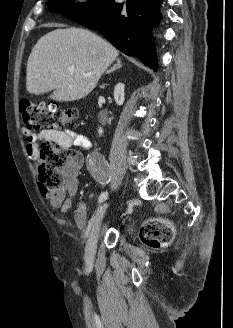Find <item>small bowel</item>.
<instances>
[{
    "label": "small bowel",
    "instance_id": "1",
    "mask_svg": "<svg viewBox=\"0 0 233 328\" xmlns=\"http://www.w3.org/2000/svg\"><path fill=\"white\" fill-rule=\"evenodd\" d=\"M26 137V151L29 156L34 157L37 153L38 143L41 140L55 141L63 149L78 147L80 150H88L91 147L90 139L80 133L70 129L65 130H43L34 133L28 127L23 129ZM78 189L77 179L74 178L66 183L60 189L46 191L40 187L41 195L46 198L50 204L59 208L62 212H67L72 208L75 201V195ZM75 219L79 226H82L86 220V208L82 203L77 204L75 210Z\"/></svg>",
    "mask_w": 233,
    "mask_h": 328
}]
</instances>
